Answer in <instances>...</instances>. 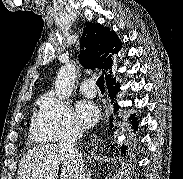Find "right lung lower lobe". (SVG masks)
<instances>
[{"label": "right lung lower lobe", "instance_id": "obj_1", "mask_svg": "<svg viewBox=\"0 0 183 179\" xmlns=\"http://www.w3.org/2000/svg\"><path fill=\"white\" fill-rule=\"evenodd\" d=\"M107 86H108V89H109V96L112 100H114L116 98V94L118 93V91H120V85L119 83L116 82L115 78L112 79L111 81L109 82H106ZM113 103V102H111ZM114 109L115 110H118L119 109V106L117 103L114 104ZM131 119H134L135 120V117L134 115L131 116ZM133 125L137 124V121H132ZM110 125L111 127L113 126L112 125V120L110 121ZM137 128L135 127V130ZM114 147V145L112 146V148ZM121 149L123 150V152L125 151V149H127V147H121Z\"/></svg>", "mask_w": 183, "mask_h": 179}]
</instances>
